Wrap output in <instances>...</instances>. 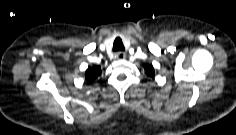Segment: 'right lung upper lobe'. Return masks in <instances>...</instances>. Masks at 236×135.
I'll use <instances>...</instances> for the list:
<instances>
[{"mask_svg":"<svg viewBox=\"0 0 236 135\" xmlns=\"http://www.w3.org/2000/svg\"><path fill=\"white\" fill-rule=\"evenodd\" d=\"M101 74L100 66L88 67L85 72V79L88 83L93 82Z\"/></svg>","mask_w":236,"mask_h":135,"instance_id":"right-lung-upper-lobe-1","label":"right lung upper lobe"}]
</instances>
